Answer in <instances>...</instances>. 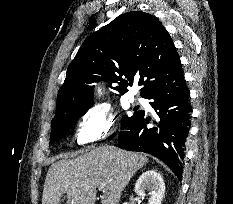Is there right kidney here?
<instances>
[{"label":"right kidney","instance_id":"right-kidney-1","mask_svg":"<svg viewBox=\"0 0 233 204\" xmlns=\"http://www.w3.org/2000/svg\"><path fill=\"white\" fill-rule=\"evenodd\" d=\"M145 191H148V204H161L165 193V183L160 175L155 170H148L139 177L135 184V193L143 198L146 196ZM133 203V197L130 198Z\"/></svg>","mask_w":233,"mask_h":204}]
</instances>
